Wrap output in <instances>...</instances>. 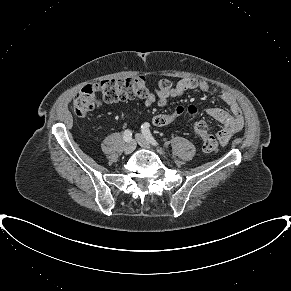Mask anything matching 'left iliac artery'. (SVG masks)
I'll list each match as a JSON object with an SVG mask.
<instances>
[{"label":"left iliac artery","instance_id":"1","mask_svg":"<svg viewBox=\"0 0 291 291\" xmlns=\"http://www.w3.org/2000/svg\"><path fill=\"white\" fill-rule=\"evenodd\" d=\"M149 127H150V124L146 122L141 126V131L144 137L146 138V140H148L153 145H158V142L152 136Z\"/></svg>","mask_w":291,"mask_h":291}]
</instances>
